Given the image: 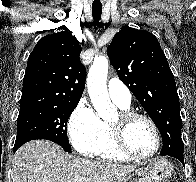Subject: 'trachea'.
<instances>
[{"label": "trachea", "mask_w": 196, "mask_h": 182, "mask_svg": "<svg viewBox=\"0 0 196 182\" xmlns=\"http://www.w3.org/2000/svg\"><path fill=\"white\" fill-rule=\"evenodd\" d=\"M102 14V7L92 6V15L95 23H98Z\"/></svg>", "instance_id": "3493384b"}]
</instances>
